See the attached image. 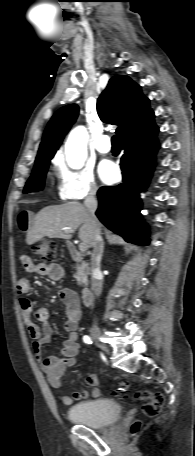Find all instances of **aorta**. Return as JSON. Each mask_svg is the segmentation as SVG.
Listing matches in <instances>:
<instances>
[{
    "label": "aorta",
    "mask_w": 195,
    "mask_h": 456,
    "mask_svg": "<svg viewBox=\"0 0 195 456\" xmlns=\"http://www.w3.org/2000/svg\"><path fill=\"white\" fill-rule=\"evenodd\" d=\"M88 132L84 126L74 128L65 143L66 161L70 168L81 169L87 158Z\"/></svg>",
    "instance_id": "1"
}]
</instances>
